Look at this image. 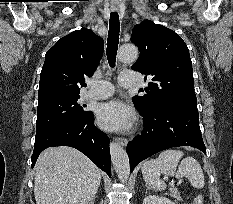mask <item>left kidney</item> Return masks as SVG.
<instances>
[{"label":"left kidney","instance_id":"obj_1","mask_svg":"<svg viewBox=\"0 0 233 204\" xmlns=\"http://www.w3.org/2000/svg\"><path fill=\"white\" fill-rule=\"evenodd\" d=\"M143 204H175V203L166 197L149 195L144 198Z\"/></svg>","mask_w":233,"mask_h":204}]
</instances>
